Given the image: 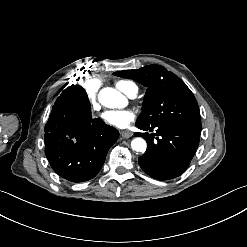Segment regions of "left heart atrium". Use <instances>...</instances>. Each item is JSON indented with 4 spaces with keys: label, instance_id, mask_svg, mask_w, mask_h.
Segmentation results:
<instances>
[{
    "label": "left heart atrium",
    "instance_id": "39dd6f15",
    "mask_svg": "<svg viewBox=\"0 0 247 247\" xmlns=\"http://www.w3.org/2000/svg\"><path fill=\"white\" fill-rule=\"evenodd\" d=\"M105 122L117 128H125L136 118V112L130 109L108 110L103 114Z\"/></svg>",
    "mask_w": 247,
    "mask_h": 247
}]
</instances>
